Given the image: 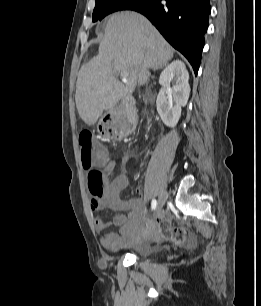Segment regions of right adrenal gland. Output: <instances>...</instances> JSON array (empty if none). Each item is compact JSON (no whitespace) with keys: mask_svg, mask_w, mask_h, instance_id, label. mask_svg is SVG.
<instances>
[{"mask_svg":"<svg viewBox=\"0 0 261 306\" xmlns=\"http://www.w3.org/2000/svg\"><path fill=\"white\" fill-rule=\"evenodd\" d=\"M159 68H161V67H153V71H155V70H157Z\"/></svg>","mask_w":261,"mask_h":306,"instance_id":"right-adrenal-gland-1","label":"right adrenal gland"}]
</instances>
